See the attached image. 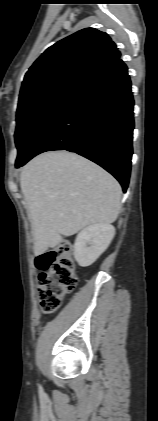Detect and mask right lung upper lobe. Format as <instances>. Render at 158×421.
<instances>
[{
    "instance_id": "cb5924a9",
    "label": "right lung upper lobe",
    "mask_w": 158,
    "mask_h": 421,
    "mask_svg": "<svg viewBox=\"0 0 158 421\" xmlns=\"http://www.w3.org/2000/svg\"><path fill=\"white\" fill-rule=\"evenodd\" d=\"M115 43L97 29H82L49 47L26 73L19 99L60 84H85L120 58Z\"/></svg>"
}]
</instances>
